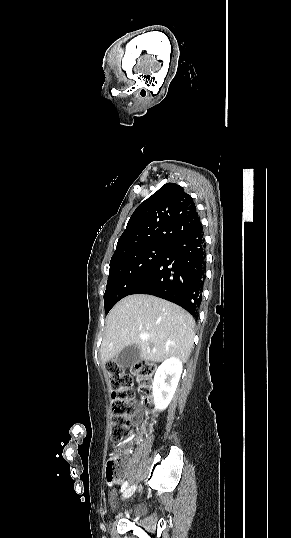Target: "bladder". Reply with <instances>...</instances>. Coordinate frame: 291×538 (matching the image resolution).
I'll return each mask as SVG.
<instances>
[{
  "label": "bladder",
  "instance_id": "1",
  "mask_svg": "<svg viewBox=\"0 0 291 538\" xmlns=\"http://www.w3.org/2000/svg\"><path fill=\"white\" fill-rule=\"evenodd\" d=\"M111 505L114 508V513L118 516L127 512L128 515L134 516L143 510V503H134L131 500V496H121L119 499L116 496V491L110 494Z\"/></svg>",
  "mask_w": 291,
  "mask_h": 538
}]
</instances>
